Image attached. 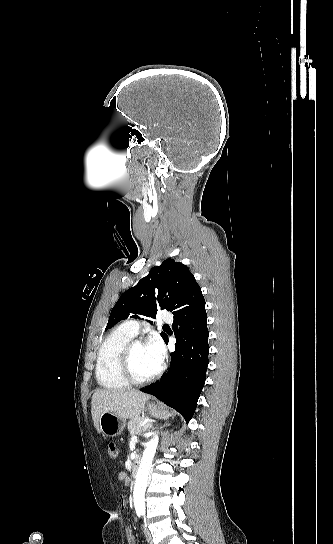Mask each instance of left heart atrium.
<instances>
[{
	"mask_svg": "<svg viewBox=\"0 0 333 544\" xmlns=\"http://www.w3.org/2000/svg\"><path fill=\"white\" fill-rule=\"evenodd\" d=\"M146 348L153 361V364L157 369H160L165 357L163 344L159 339H153L146 345Z\"/></svg>",
	"mask_w": 333,
	"mask_h": 544,
	"instance_id": "left-heart-atrium-1",
	"label": "left heart atrium"
}]
</instances>
